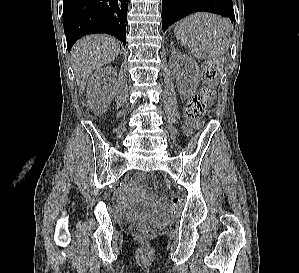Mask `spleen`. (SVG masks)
<instances>
[{"mask_svg": "<svg viewBox=\"0 0 299 273\" xmlns=\"http://www.w3.org/2000/svg\"><path fill=\"white\" fill-rule=\"evenodd\" d=\"M229 30L227 19L210 13H195L177 22L174 33L195 58L210 60L228 50Z\"/></svg>", "mask_w": 299, "mask_h": 273, "instance_id": "3e777b00", "label": "spleen"}]
</instances>
